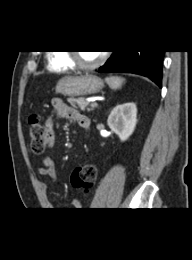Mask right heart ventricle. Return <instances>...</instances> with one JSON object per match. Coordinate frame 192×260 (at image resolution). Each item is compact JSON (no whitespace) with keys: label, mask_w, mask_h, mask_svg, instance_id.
<instances>
[{"label":"right heart ventricle","mask_w":192,"mask_h":260,"mask_svg":"<svg viewBox=\"0 0 192 260\" xmlns=\"http://www.w3.org/2000/svg\"><path fill=\"white\" fill-rule=\"evenodd\" d=\"M48 68L54 72H66L74 69V65L68 59L67 53L57 51L48 57Z\"/></svg>","instance_id":"right-heart-ventricle-1"}]
</instances>
